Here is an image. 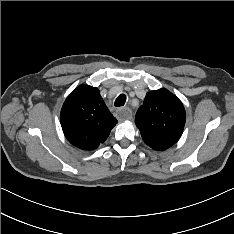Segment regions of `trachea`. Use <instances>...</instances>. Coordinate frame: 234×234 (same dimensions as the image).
Listing matches in <instances>:
<instances>
[{
  "instance_id": "3493384b",
  "label": "trachea",
  "mask_w": 234,
  "mask_h": 234,
  "mask_svg": "<svg viewBox=\"0 0 234 234\" xmlns=\"http://www.w3.org/2000/svg\"><path fill=\"white\" fill-rule=\"evenodd\" d=\"M125 102H126V95L121 94L116 98V100L114 102V105L116 107H121V106H124Z\"/></svg>"
}]
</instances>
